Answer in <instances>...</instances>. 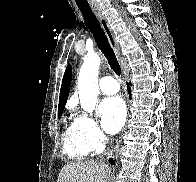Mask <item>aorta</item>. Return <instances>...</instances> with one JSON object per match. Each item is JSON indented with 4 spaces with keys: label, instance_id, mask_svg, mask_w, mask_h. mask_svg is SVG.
I'll list each match as a JSON object with an SVG mask.
<instances>
[{
    "label": "aorta",
    "instance_id": "762f6f07",
    "mask_svg": "<svg viewBox=\"0 0 196 182\" xmlns=\"http://www.w3.org/2000/svg\"><path fill=\"white\" fill-rule=\"evenodd\" d=\"M101 59L97 53L84 58L78 77V93L82 109L92 115L99 94L98 72Z\"/></svg>",
    "mask_w": 196,
    "mask_h": 182
}]
</instances>
